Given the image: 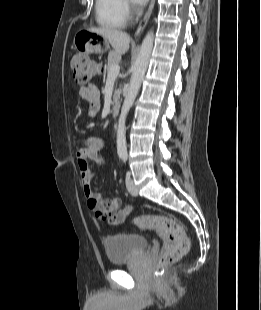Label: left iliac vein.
I'll return each mask as SVG.
<instances>
[{"label":"left iliac vein","instance_id":"left-iliac-vein-1","mask_svg":"<svg viewBox=\"0 0 261 310\" xmlns=\"http://www.w3.org/2000/svg\"><path fill=\"white\" fill-rule=\"evenodd\" d=\"M126 187L128 192L132 195V196H137L138 195V190L131 178V174L130 172H127L126 174Z\"/></svg>","mask_w":261,"mask_h":310}]
</instances>
